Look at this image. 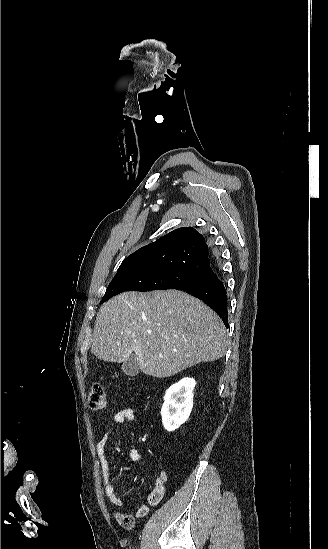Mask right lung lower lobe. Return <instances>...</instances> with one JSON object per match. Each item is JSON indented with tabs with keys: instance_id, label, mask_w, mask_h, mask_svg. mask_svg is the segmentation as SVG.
<instances>
[{
	"instance_id": "1",
	"label": "right lung lower lobe",
	"mask_w": 328,
	"mask_h": 549,
	"mask_svg": "<svg viewBox=\"0 0 328 549\" xmlns=\"http://www.w3.org/2000/svg\"><path fill=\"white\" fill-rule=\"evenodd\" d=\"M183 291L203 300L222 318L228 328V298L222 281L214 278L205 283L187 287Z\"/></svg>"
}]
</instances>
